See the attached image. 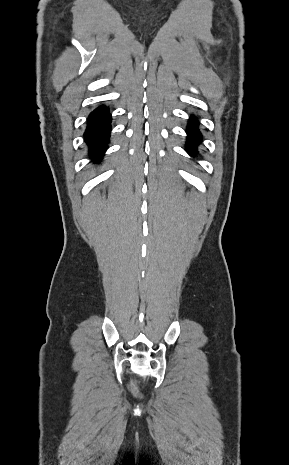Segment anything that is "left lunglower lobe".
I'll return each mask as SVG.
<instances>
[{
    "instance_id": "0a47b994",
    "label": "left lung lower lobe",
    "mask_w": 289,
    "mask_h": 465,
    "mask_svg": "<svg viewBox=\"0 0 289 465\" xmlns=\"http://www.w3.org/2000/svg\"><path fill=\"white\" fill-rule=\"evenodd\" d=\"M187 134H188V139H187L186 148H187L188 153L193 155L196 153V147L201 141V133L199 132V129H198V122L194 118L190 120Z\"/></svg>"
}]
</instances>
